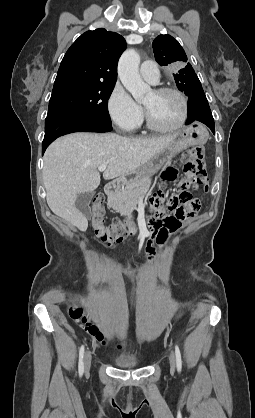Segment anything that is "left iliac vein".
Wrapping results in <instances>:
<instances>
[{"label": "left iliac vein", "instance_id": "left-iliac-vein-1", "mask_svg": "<svg viewBox=\"0 0 255 418\" xmlns=\"http://www.w3.org/2000/svg\"><path fill=\"white\" fill-rule=\"evenodd\" d=\"M169 361H170L171 371L174 372L176 361H175V355L172 351L170 352V355H169Z\"/></svg>", "mask_w": 255, "mask_h": 418}]
</instances>
